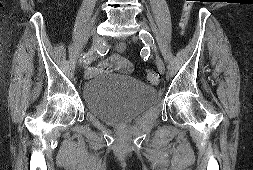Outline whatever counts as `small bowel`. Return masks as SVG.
Returning <instances> with one entry per match:
<instances>
[{"instance_id":"small-bowel-1","label":"small bowel","mask_w":253,"mask_h":170,"mask_svg":"<svg viewBox=\"0 0 253 170\" xmlns=\"http://www.w3.org/2000/svg\"><path fill=\"white\" fill-rule=\"evenodd\" d=\"M116 57H121V56H113L112 58H116ZM127 61H128V60H127ZM128 62H129V61H128ZM129 63H130V62H129ZM117 65H118V67H120V64H117ZM96 71H97V69H91V70L88 71V73H89L90 76H91V75L95 74Z\"/></svg>"}]
</instances>
